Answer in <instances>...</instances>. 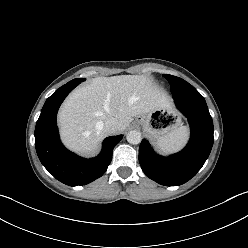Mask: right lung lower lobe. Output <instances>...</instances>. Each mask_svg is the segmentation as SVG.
I'll list each match as a JSON object with an SVG mask.
<instances>
[{
  "label": "right lung lower lobe",
  "mask_w": 248,
  "mask_h": 248,
  "mask_svg": "<svg viewBox=\"0 0 248 248\" xmlns=\"http://www.w3.org/2000/svg\"><path fill=\"white\" fill-rule=\"evenodd\" d=\"M80 81H70L55 91L45 102L35 128V147L43 166L60 182L85 185L101 177L107 170L112 151L123 135L107 137L101 153L85 159L67 150L60 142L56 125L59 106Z\"/></svg>",
  "instance_id": "1"
}]
</instances>
